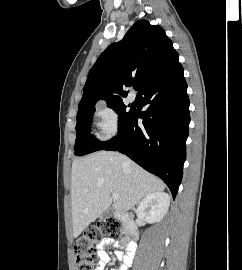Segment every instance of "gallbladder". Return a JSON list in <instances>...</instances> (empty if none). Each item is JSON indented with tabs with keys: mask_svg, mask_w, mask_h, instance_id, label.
I'll use <instances>...</instances> for the list:
<instances>
[{
	"mask_svg": "<svg viewBox=\"0 0 242 270\" xmlns=\"http://www.w3.org/2000/svg\"><path fill=\"white\" fill-rule=\"evenodd\" d=\"M112 215V209L108 208L100 217L101 220L108 219Z\"/></svg>",
	"mask_w": 242,
	"mask_h": 270,
	"instance_id": "1",
	"label": "gallbladder"
}]
</instances>
